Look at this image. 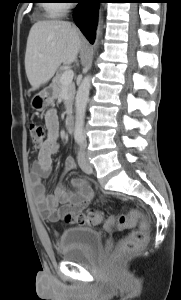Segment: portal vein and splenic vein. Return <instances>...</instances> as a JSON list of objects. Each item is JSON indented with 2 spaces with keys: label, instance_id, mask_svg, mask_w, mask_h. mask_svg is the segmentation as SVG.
I'll list each match as a JSON object with an SVG mask.
<instances>
[{
  "label": "portal vein and splenic vein",
  "instance_id": "obj_1",
  "mask_svg": "<svg viewBox=\"0 0 181 300\" xmlns=\"http://www.w3.org/2000/svg\"><path fill=\"white\" fill-rule=\"evenodd\" d=\"M74 76V72L72 70L65 71L61 76V83L63 85H68L72 82Z\"/></svg>",
  "mask_w": 181,
  "mask_h": 300
}]
</instances>
